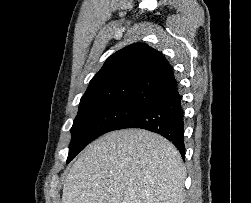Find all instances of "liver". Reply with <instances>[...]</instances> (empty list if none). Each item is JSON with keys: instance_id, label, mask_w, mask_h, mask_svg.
Here are the masks:
<instances>
[{"instance_id": "obj_1", "label": "liver", "mask_w": 251, "mask_h": 203, "mask_svg": "<svg viewBox=\"0 0 251 203\" xmlns=\"http://www.w3.org/2000/svg\"><path fill=\"white\" fill-rule=\"evenodd\" d=\"M186 169L164 137L142 129L109 132L64 173L61 203H182Z\"/></svg>"}]
</instances>
